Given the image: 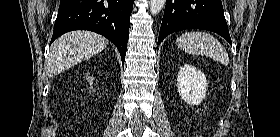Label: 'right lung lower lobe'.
<instances>
[{
    "mask_svg": "<svg viewBox=\"0 0 280 137\" xmlns=\"http://www.w3.org/2000/svg\"><path fill=\"white\" fill-rule=\"evenodd\" d=\"M133 2L134 0H60L51 42L69 31H93L115 44L124 63Z\"/></svg>",
    "mask_w": 280,
    "mask_h": 137,
    "instance_id": "1",
    "label": "right lung lower lobe"
}]
</instances>
